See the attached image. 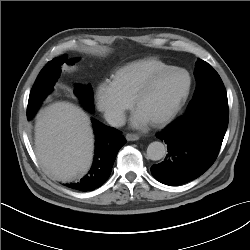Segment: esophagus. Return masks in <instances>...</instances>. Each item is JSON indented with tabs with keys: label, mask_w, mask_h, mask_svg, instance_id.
Here are the masks:
<instances>
[{
	"label": "esophagus",
	"mask_w": 250,
	"mask_h": 250,
	"mask_svg": "<svg viewBox=\"0 0 250 250\" xmlns=\"http://www.w3.org/2000/svg\"><path fill=\"white\" fill-rule=\"evenodd\" d=\"M138 139H139V136L137 134H133V133L126 134L127 141H137Z\"/></svg>",
	"instance_id": "esophagus-1"
}]
</instances>
